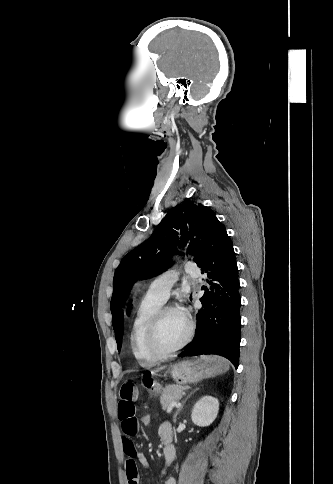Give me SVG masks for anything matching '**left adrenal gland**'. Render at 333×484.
<instances>
[{
    "label": "left adrenal gland",
    "mask_w": 333,
    "mask_h": 484,
    "mask_svg": "<svg viewBox=\"0 0 333 484\" xmlns=\"http://www.w3.org/2000/svg\"><path fill=\"white\" fill-rule=\"evenodd\" d=\"M197 390H198V389L194 390V391H193V392H192V393H191V394H190V395L187 397V399H188V398H189V397H190V396H191L193 393H195ZM187 399H186V400L183 402V404L180 406V408H179V409L176 411L175 415L173 416V421H174V422L176 421L177 415H178V413L180 412V410L183 408V406H184L185 402L187 401Z\"/></svg>",
    "instance_id": "a2214340"
}]
</instances>
